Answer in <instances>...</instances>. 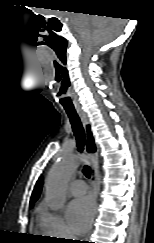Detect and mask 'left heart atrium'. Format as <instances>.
I'll return each mask as SVG.
<instances>
[{
  "label": "left heart atrium",
  "instance_id": "left-heart-atrium-1",
  "mask_svg": "<svg viewBox=\"0 0 154 243\" xmlns=\"http://www.w3.org/2000/svg\"><path fill=\"white\" fill-rule=\"evenodd\" d=\"M94 216V202L89 196L72 201L68 207V219L76 233H83L91 225Z\"/></svg>",
  "mask_w": 154,
  "mask_h": 243
}]
</instances>
